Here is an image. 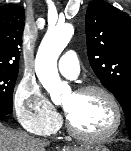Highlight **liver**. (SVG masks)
I'll use <instances>...</instances> for the list:
<instances>
[{"mask_svg":"<svg viewBox=\"0 0 131 151\" xmlns=\"http://www.w3.org/2000/svg\"><path fill=\"white\" fill-rule=\"evenodd\" d=\"M47 145L48 143L33 138L25 132L12 130L0 123V151H45Z\"/></svg>","mask_w":131,"mask_h":151,"instance_id":"liver-1","label":"liver"}]
</instances>
